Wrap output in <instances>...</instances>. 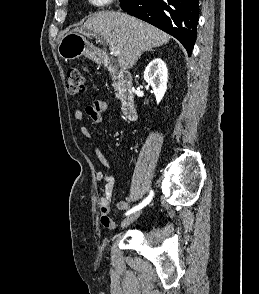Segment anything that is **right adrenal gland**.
Segmentation results:
<instances>
[{"label": "right adrenal gland", "instance_id": "1", "mask_svg": "<svg viewBox=\"0 0 259 294\" xmlns=\"http://www.w3.org/2000/svg\"><path fill=\"white\" fill-rule=\"evenodd\" d=\"M148 51H152V52H154L155 50H148Z\"/></svg>", "mask_w": 259, "mask_h": 294}]
</instances>
